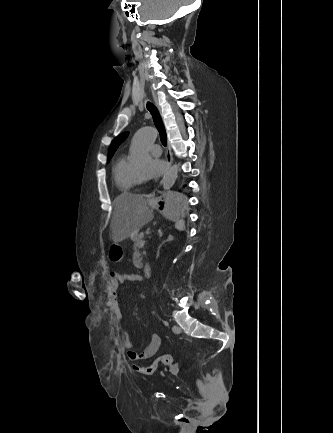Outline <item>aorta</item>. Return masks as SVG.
<instances>
[{
  "mask_svg": "<svg viewBox=\"0 0 333 433\" xmlns=\"http://www.w3.org/2000/svg\"><path fill=\"white\" fill-rule=\"evenodd\" d=\"M157 138V131L153 127L139 129L130 145L131 162L139 167L148 165L152 158L149 155V147ZM178 175V165H172L169 172L163 178V189L169 190L175 183Z\"/></svg>",
  "mask_w": 333,
  "mask_h": 433,
  "instance_id": "obj_1",
  "label": "aorta"
}]
</instances>
